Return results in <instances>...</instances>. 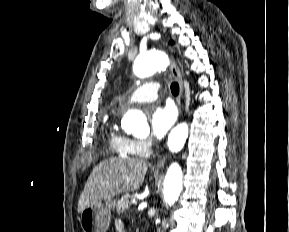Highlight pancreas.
<instances>
[{"label":"pancreas","instance_id":"obj_1","mask_svg":"<svg viewBox=\"0 0 289 232\" xmlns=\"http://www.w3.org/2000/svg\"><path fill=\"white\" fill-rule=\"evenodd\" d=\"M132 199H133V196L129 194L123 195L121 199L115 204L116 212L118 214H122L125 210H128L131 205L130 200Z\"/></svg>","mask_w":289,"mask_h":232}]
</instances>
